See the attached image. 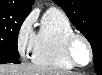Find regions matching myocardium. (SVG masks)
<instances>
[{"instance_id":"f54148a6","label":"myocardium","mask_w":102,"mask_h":75,"mask_svg":"<svg viewBox=\"0 0 102 75\" xmlns=\"http://www.w3.org/2000/svg\"><path fill=\"white\" fill-rule=\"evenodd\" d=\"M78 41H82L87 49L88 58L85 63H80L79 61H77L76 56H75V45ZM65 51L70 61L75 65L84 66L88 64L92 58V47L89 40L84 35L79 34V33H74L67 38L65 42Z\"/></svg>"}]
</instances>
